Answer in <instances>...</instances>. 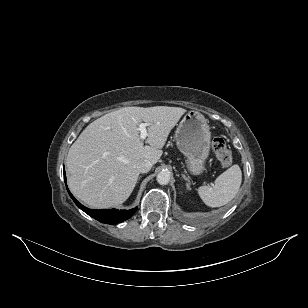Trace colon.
<instances>
[{
  "label": "colon",
  "mask_w": 308,
  "mask_h": 308,
  "mask_svg": "<svg viewBox=\"0 0 308 308\" xmlns=\"http://www.w3.org/2000/svg\"><path fill=\"white\" fill-rule=\"evenodd\" d=\"M212 150L223 167L231 165L233 160L232 153L223 138L217 137L213 139Z\"/></svg>",
  "instance_id": "obj_1"
}]
</instances>
